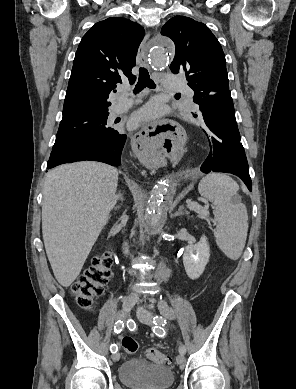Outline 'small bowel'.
<instances>
[{
	"label": "small bowel",
	"mask_w": 296,
	"mask_h": 389,
	"mask_svg": "<svg viewBox=\"0 0 296 389\" xmlns=\"http://www.w3.org/2000/svg\"><path fill=\"white\" fill-rule=\"evenodd\" d=\"M160 308L162 309L163 313H165L166 315H169L170 317L172 316V311L170 310V308L166 302H162L160 304Z\"/></svg>",
	"instance_id": "c3829d8e"
}]
</instances>
